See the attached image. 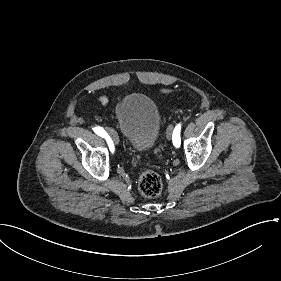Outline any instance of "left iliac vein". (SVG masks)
Here are the masks:
<instances>
[{"instance_id":"obj_1","label":"left iliac vein","mask_w":281,"mask_h":281,"mask_svg":"<svg viewBox=\"0 0 281 281\" xmlns=\"http://www.w3.org/2000/svg\"><path fill=\"white\" fill-rule=\"evenodd\" d=\"M173 126L172 125H170L168 128H167V132H166V135H167V138L168 139H171L172 138V136H173Z\"/></svg>"}]
</instances>
